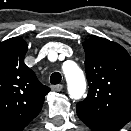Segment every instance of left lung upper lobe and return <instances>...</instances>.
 <instances>
[{"instance_id":"1","label":"left lung upper lobe","mask_w":131,"mask_h":131,"mask_svg":"<svg viewBox=\"0 0 131 131\" xmlns=\"http://www.w3.org/2000/svg\"><path fill=\"white\" fill-rule=\"evenodd\" d=\"M83 47L89 92L77 104V115L93 131H118L131 120V57L97 36Z\"/></svg>"}]
</instances>
